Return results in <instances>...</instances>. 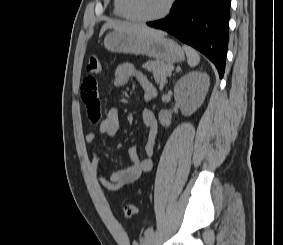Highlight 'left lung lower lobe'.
I'll return each mask as SVG.
<instances>
[{
    "label": "left lung lower lobe",
    "mask_w": 283,
    "mask_h": 245,
    "mask_svg": "<svg viewBox=\"0 0 283 245\" xmlns=\"http://www.w3.org/2000/svg\"><path fill=\"white\" fill-rule=\"evenodd\" d=\"M230 0H176L169 15L147 25L191 45L217 67L223 77L228 46Z\"/></svg>",
    "instance_id": "left-lung-lower-lobe-1"
}]
</instances>
